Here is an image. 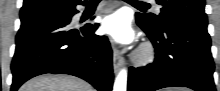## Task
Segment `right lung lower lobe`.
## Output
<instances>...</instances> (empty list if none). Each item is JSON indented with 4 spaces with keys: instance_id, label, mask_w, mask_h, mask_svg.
Segmentation results:
<instances>
[{
    "instance_id": "98d812e1",
    "label": "right lung lower lobe",
    "mask_w": 220,
    "mask_h": 91,
    "mask_svg": "<svg viewBox=\"0 0 220 91\" xmlns=\"http://www.w3.org/2000/svg\"><path fill=\"white\" fill-rule=\"evenodd\" d=\"M77 2L64 9L21 17L11 69L16 91L25 81L45 73L80 77L99 91H111L112 50L106 36L94 34L99 24L74 27Z\"/></svg>"
}]
</instances>
